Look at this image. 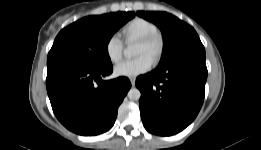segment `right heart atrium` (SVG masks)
I'll list each match as a JSON object with an SVG mask.
<instances>
[{"label": "right heart atrium", "mask_w": 261, "mask_h": 150, "mask_svg": "<svg viewBox=\"0 0 261 150\" xmlns=\"http://www.w3.org/2000/svg\"><path fill=\"white\" fill-rule=\"evenodd\" d=\"M124 44L117 34L111 35L105 43V52L112 63H117L123 56Z\"/></svg>", "instance_id": "right-heart-atrium-1"}]
</instances>
